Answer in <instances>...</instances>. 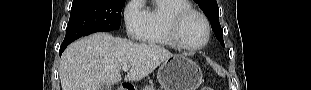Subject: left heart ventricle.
<instances>
[{"label": "left heart ventricle", "instance_id": "left-heart-ventricle-1", "mask_svg": "<svg viewBox=\"0 0 311 90\" xmlns=\"http://www.w3.org/2000/svg\"><path fill=\"white\" fill-rule=\"evenodd\" d=\"M181 33L187 43L198 45L205 38V25L198 16H191L184 22Z\"/></svg>", "mask_w": 311, "mask_h": 90}]
</instances>
